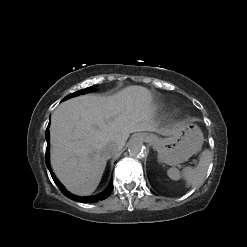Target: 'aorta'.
Segmentation results:
<instances>
[{"label": "aorta", "mask_w": 247, "mask_h": 247, "mask_svg": "<svg viewBox=\"0 0 247 247\" xmlns=\"http://www.w3.org/2000/svg\"><path fill=\"white\" fill-rule=\"evenodd\" d=\"M128 151L131 157H141L144 154V145L140 140L134 139L129 143Z\"/></svg>", "instance_id": "1"}]
</instances>
